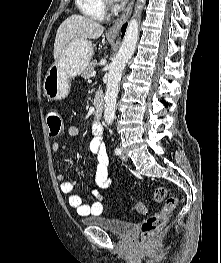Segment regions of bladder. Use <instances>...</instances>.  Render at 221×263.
Here are the masks:
<instances>
[{
    "mask_svg": "<svg viewBox=\"0 0 221 263\" xmlns=\"http://www.w3.org/2000/svg\"><path fill=\"white\" fill-rule=\"evenodd\" d=\"M84 223L87 225L99 226L121 237L128 236L135 226V224L131 221L123 220L120 218L101 216L87 218L84 220Z\"/></svg>",
    "mask_w": 221,
    "mask_h": 263,
    "instance_id": "1",
    "label": "bladder"
}]
</instances>
